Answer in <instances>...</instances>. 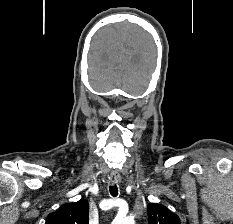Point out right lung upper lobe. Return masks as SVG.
Listing matches in <instances>:
<instances>
[{
  "label": "right lung upper lobe",
  "mask_w": 233,
  "mask_h": 224,
  "mask_svg": "<svg viewBox=\"0 0 233 224\" xmlns=\"http://www.w3.org/2000/svg\"><path fill=\"white\" fill-rule=\"evenodd\" d=\"M89 205L86 200L63 204L57 211L50 213L45 224H88Z\"/></svg>",
  "instance_id": "obj_1"
}]
</instances>
